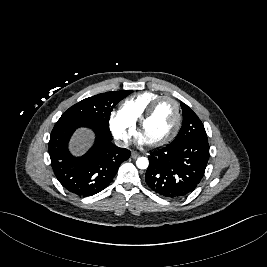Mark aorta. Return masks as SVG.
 Listing matches in <instances>:
<instances>
[{
    "instance_id": "aorta-1",
    "label": "aorta",
    "mask_w": 267,
    "mask_h": 267,
    "mask_svg": "<svg viewBox=\"0 0 267 267\" xmlns=\"http://www.w3.org/2000/svg\"><path fill=\"white\" fill-rule=\"evenodd\" d=\"M136 165L139 169H146L149 165V161L146 157H139L136 161Z\"/></svg>"
}]
</instances>
